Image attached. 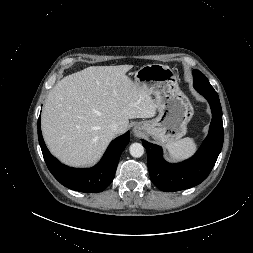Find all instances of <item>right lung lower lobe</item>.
Here are the masks:
<instances>
[{"label":"right lung lower lobe","instance_id":"obj_1","mask_svg":"<svg viewBox=\"0 0 253 253\" xmlns=\"http://www.w3.org/2000/svg\"><path fill=\"white\" fill-rule=\"evenodd\" d=\"M38 139L48 169L62 185L79 192L97 193L105 190L113 181L120 155L129 142V132L114 139L102 160L88 169L70 168L61 164L50 154L42 137L40 118L38 119Z\"/></svg>","mask_w":253,"mask_h":253}]
</instances>
